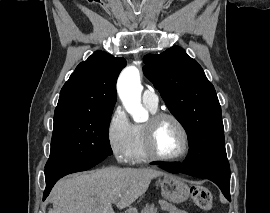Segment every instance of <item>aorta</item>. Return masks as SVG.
Returning a JSON list of instances; mask_svg holds the SVG:
<instances>
[{
	"label": "aorta",
	"instance_id": "1",
	"mask_svg": "<svg viewBox=\"0 0 270 213\" xmlns=\"http://www.w3.org/2000/svg\"><path fill=\"white\" fill-rule=\"evenodd\" d=\"M117 91L123 106L134 121H145L148 112L141 104L140 73L135 66H128L121 72L117 82Z\"/></svg>",
	"mask_w": 270,
	"mask_h": 213
}]
</instances>
